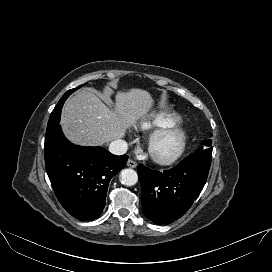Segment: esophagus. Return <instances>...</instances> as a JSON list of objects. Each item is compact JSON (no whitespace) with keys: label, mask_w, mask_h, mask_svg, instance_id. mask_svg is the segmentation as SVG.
Returning a JSON list of instances; mask_svg holds the SVG:
<instances>
[{"label":"esophagus","mask_w":272,"mask_h":272,"mask_svg":"<svg viewBox=\"0 0 272 272\" xmlns=\"http://www.w3.org/2000/svg\"><path fill=\"white\" fill-rule=\"evenodd\" d=\"M127 166L130 168H135L137 166V163L131 159L127 161Z\"/></svg>","instance_id":"obj_1"}]
</instances>
